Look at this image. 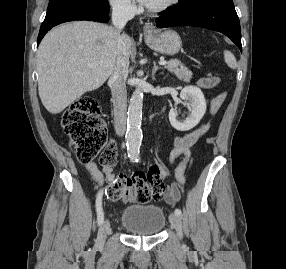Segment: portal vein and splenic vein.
Returning <instances> with one entry per match:
<instances>
[{
	"label": "portal vein and splenic vein",
	"instance_id": "1",
	"mask_svg": "<svg viewBox=\"0 0 286 269\" xmlns=\"http://www.w3.org/2000/svg\"><path fill=\"white\" fill-rule=\"evenodd\" d=\"M159 64H160V65H167L168 62L165 61V60H163V59H161V60L159 61Z\"/></svg>",
	"mask_w": 286,
	"mask_h": 269
}]
</instances>
